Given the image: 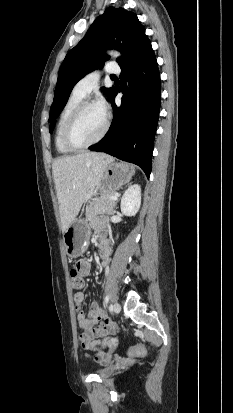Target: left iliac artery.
<instances>
[{
  "instance_id": "left-iliac-artery-1",
  "label": "left iliac artery",
  "mask_w": 233,
  "mask_h": 413,
  "mask_svg": "<svg viewBox=\"0 0 233 413\" xmlns=\"http://www.w3.org/2000/svg\"><path fill=\"white\" fill-rule=\"evenodd\" d=\"M108 302H109V296L107 295V296H105V298H104V304L107 305Z\"/></svg>"
}]
</instances>
